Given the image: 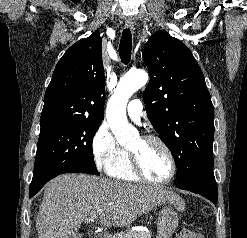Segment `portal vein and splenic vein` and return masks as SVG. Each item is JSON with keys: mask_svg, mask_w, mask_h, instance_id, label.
Segmentation results:
<instances>
[{"mask_svg": "<svg viewBox=\"0 0 247 238\" xmlns=\"http://www.w3.org/2000/svg\"><path fill=\"white\" fill-rule=\"evenodd\" d=\"M88 221H89V222H90V221L92 222V221H94V219H93V218H90Z\"/></svg>", "mask_w": 247, "mask_h": 238, "instance_id": "1", "label": "portal vein and splenic vein"}]
</instances>
